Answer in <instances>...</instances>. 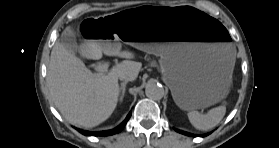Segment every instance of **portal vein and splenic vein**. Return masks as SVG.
<instances>
[{
    "instance_id": "obj_1",
    "label": "portal vein and splenic vein",
    "mask_w": 279,
    "mask_h": 148,
    "mask_svg": "<svg viewBox=\"0 0 279 148\" xmlns=\"http://www.w3.org/2000/svg\"><path fill=\"white\" fill-rule=\"evenodd\" d=\"M108 63H103V64H99L95 67V70L99 73V74H104L106 72H108ZM204 111V109H202V112Z\"/></svg>"
}]
</instances>
